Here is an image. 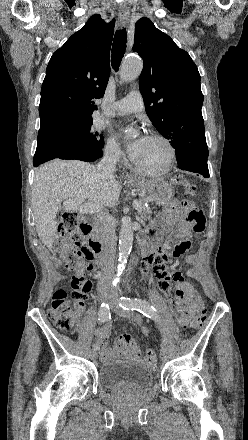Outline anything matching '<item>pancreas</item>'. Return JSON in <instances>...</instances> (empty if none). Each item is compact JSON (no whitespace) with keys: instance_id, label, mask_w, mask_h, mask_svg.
Wrapping results in <instances>:
<instances>
[{"instance_id":"obj_1","label":"pancreas","mask_w":248,"mask_h":440,"mask_svg":"<svg viewBox=\"0 0 248 440\" xmlns=\"http://www.w3.org/2000/svg\"><path fill=\"white\" fill-rule=\"evenodd\" d=\"M138 213L140 217L144 220L151 219L152 210L150 208L145 207L144 205H142V210H140Z\"/></svg>"}]
</instances>
